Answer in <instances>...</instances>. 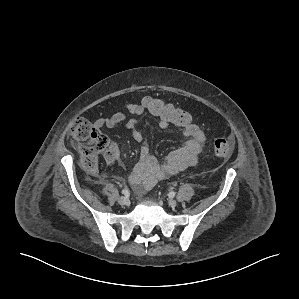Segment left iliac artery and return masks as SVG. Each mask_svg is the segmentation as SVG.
<instances>
[{"instance_id":"obj_1","label":"left iliac artery","mask_w":299,"mask_h":299,"mask_svg":"<svg viewBox=\"0 0 299 299\" xmlns=\"http://www.w3.org/2000/svg\"><path fill=\"white\" fill-rule=\"evenodd\" d=\"M169 196L173 198V197L175 196V192H173V191L170 192V193H169Z\"/></svg>"}]
</instances>
